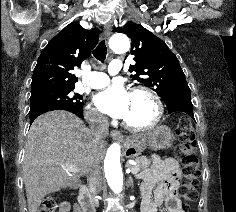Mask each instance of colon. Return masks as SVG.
<instances>
[{
    "label": "colon",
    "instance_id": "colon-1",
    "mask_svg": "<svg viewBox=\"0 0 236 212\" xmlns=\"http://www.w3.org/2000/svg\"><path fill=\"white\" fill-rule=\"evenodd\" d=\"M178 137L181 140L179 153L181 156L183 179L181 194L189 202H194L198 198L197 184L200 176L199 159L194 154V147L196 143L195 134L192 129L191 120L183 117L177 129ZM58 209V202L52 196H46L38 212H56ZM186 206V212H188Z\"/></svg>",
    "mask_w": 236,
    "mask_h": 212
}]
</instances>
